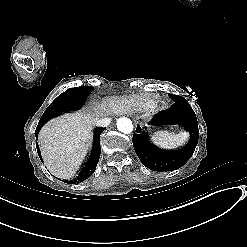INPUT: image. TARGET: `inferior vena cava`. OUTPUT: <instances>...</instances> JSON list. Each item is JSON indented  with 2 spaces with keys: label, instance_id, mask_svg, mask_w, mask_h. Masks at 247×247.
Returning <instances> with one entry per match:
<instances>
[{
  "label": "inferior vena cava",
  "instance_id": "602c4592",
  "mask_svg": "<svg viewBox=\"0 0 247 247\" xmlns=\"http://www.w3.org/2000/svg\"><path fill=\"white\" fill-rule=\"evenodd\" d=\"M111 119L110 118H102V119H99L95 122V125L97 127H101V128H105V127H108L110 124H111Z\"/></svg>",
  "mask_w": 247,
  "mask_h": 247
}]
</instances>
